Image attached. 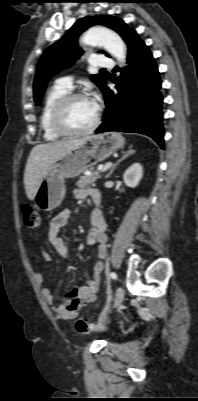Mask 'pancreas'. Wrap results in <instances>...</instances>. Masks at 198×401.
<instances>
[{
    "instance_id": "cf45deb5",
    "label": "pancreas",
    "mask_w": 198,
    "mask_h": 401,
    "mask_svg": "<svg viewBox=\"0 0 198 401\" xmlns=\"http://www.w3.org/2000/svg\"><path fill=\"white\" fill-rule=\"evenodd\" d=\"M101 176L98 173L92 174V175H83L80 177V179L76 182V185L79 188H87L90 186H94V183L97 179H99Z\"/></svg>"
}]
</instances>
